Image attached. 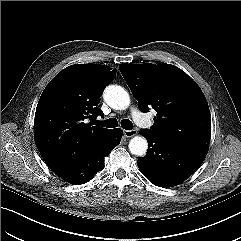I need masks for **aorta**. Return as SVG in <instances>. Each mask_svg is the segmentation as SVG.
<instances>
[{
	"label": "aorta",
	"mask_w": 241,
	"mask_h": 241,
	"mask_svg": "<svg viewBox=\"0 0 241 241\" xmlns=\"http://www.w3.org/2000/svg\"><path fill=\"white\" fill-rule=\"evenodd\" d=\"M105 102L115 110H124L130 104L128 92L119 85H109L103 93ZM129 151L136 156H144L148 149L147 140L142 136H135L129 142Z\"/></svg>",
	"instance_id": "obj_1"
}]
</instances>
